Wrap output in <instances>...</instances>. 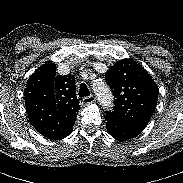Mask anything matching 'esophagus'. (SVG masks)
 I'll return each instance as SVG.
<instances>
[{"instance_id": "34e87169", "label": "esophagus", "mask_w": 183, "mask_h": 183, "mask_svg": "<svg viewBox=\"0 0 183 183\" xmlns=\"http://www.w3.org/2000/svg\"><path fill=\"white\" fill-rule=\"evenodd\" d=\"M95 101H96L95 96L90 95V96L84 97V98L82 99V104L88 105V104L94 103Z\"/></svg>"}]
</instances>
